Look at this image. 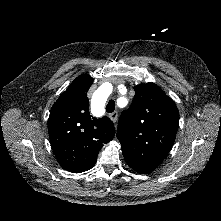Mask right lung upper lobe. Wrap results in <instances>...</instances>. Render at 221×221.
<instances>
[{"label": "right lung upper lobe", "mask_w": 221, "mask_h": 221, "mask_svg": "<svg viewBox=\"0 0 221 221\" xmlns=\"http://www.w3.org/2000/svg\"><path fill=\"white\" fill-rule=\"evenodd\" d=\"M93 83L90 75H80L51 108L48 133L54 154L69 172L91 169L104 143L115 136L108 117L94 118L89 113L87 92Z\"/></svg>", "instance_id": "1"}]
</instances>
